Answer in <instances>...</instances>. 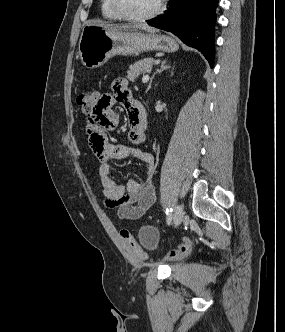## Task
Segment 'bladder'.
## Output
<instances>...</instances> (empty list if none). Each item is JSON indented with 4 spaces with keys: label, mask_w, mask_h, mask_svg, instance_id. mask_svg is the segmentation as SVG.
Segmentation results:
<instances>
[{
    "label": "bladder",
    "mask_w": 285,
    "mask_h": 332,
    "mask_svg": "<svg viewBox=\"0 0 285 332\" xmlns=\"http://www.w3.org/2000/svg\"><path fill=\"white\" fill-rule=\"evenodd\" d=\"M139 240L146 248H154L158 241L157 231L150 226H142L138 232Z\"/></svg>",
    "instance_id": "obj_1"
}]
</instances>
